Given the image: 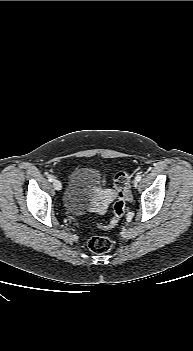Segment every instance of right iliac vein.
Here are the masks:
<instances>
[{"instance_id":"obj_1","label":"right iliac vein","mask_w":193,"mask_h":351,"mask_svg":"<svg viewBox=\"0 0 193 351\" xmlns=\"http://www.w3.org/2000/svg\"><path fill=\"white\" fill-rule=\"evenodd\" d=\"M53 186L58 191H60L62 189V185H61V182L59 180H53Z\"/></svg>"}]
</instances>
